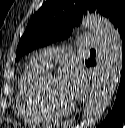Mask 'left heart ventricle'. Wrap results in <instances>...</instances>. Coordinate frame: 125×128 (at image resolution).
<instances>
[{
	"label": "left heart ventricle",
	"mask_w": 125,
	"mask_h": 128,
	"mask_svg": "<svg viewBox=\"0 0 125 128\" xmlns=\"http://www.w3.org/2000/svg\"><path fill=\"white\" fill-rule=\"evenodd\" d=\"M43 93L47 103L54 109L66 108L72 103V100H70L61 86L58 76L47 81Z\"/></svg>",
	"instance_id": "1"
}]
</instances>
